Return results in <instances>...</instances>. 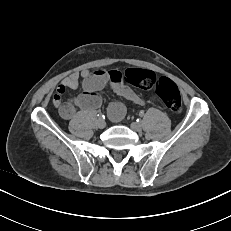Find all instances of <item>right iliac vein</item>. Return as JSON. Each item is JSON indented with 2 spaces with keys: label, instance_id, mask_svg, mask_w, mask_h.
<instances>
[{
  "label": "right iliac vein",
  "instance_id": "63e3f726",
  "mask_svg": "<svg viewBox=\"0 0 231 231\" xmlns=\"http://www.w3.org/2000/svg\"><path fill=\"white\" fill-rule=\"evenodd\" d=\"M97 126L100 128V129H103L105 126H106V123L103 119H98L97 121Z\"/></svg>",
  "mask_w": 231,
  "mask_h": 231
}]
</instances>
